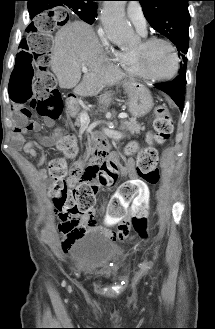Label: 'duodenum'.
Returning <instances> with one entry per match:
<instances>
[{
  "label": "duodenum",
  "mask_w": 215,
  "mask_h": 329,
  "mask_svg": "<svg viewBox=\"0 0 215 329\" xmlns=\"http://www.w3.org/2000/svg\"><path fill=\"white\" fill-rule=\"evenodd\" d=\"M72 98H73V95H72V94H68V95L66 96V100H67V101H71ZM95 154H96V155H102V156H104V155H110V151H109V150L106 148V146L104 145V146H100L98 149H96V150H95Z\"/></svg>",
  "instance_id": "1"
}]
</instances>
